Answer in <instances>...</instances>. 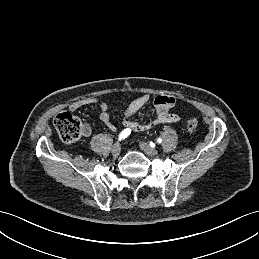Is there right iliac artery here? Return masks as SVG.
<instances>
[{
    "label": "right iliac artery",
    "mask_w": 259,
    "mask_h": 259,
    "mask_svg": "<svg viewBox=\"0 0 259 259\" xmlns=\"http://www.w3.org/2000/svg\"><path fill=\"white\" fill-rule=\"evenodd\" d=\"M130 133H131V130H130L129 128L124 129V130L120 133V135H119V140L125 139L127 136L130 135Z\"/></svg>",
    "instance_id": "right-iliac-artery-1"
}]
</instances>
